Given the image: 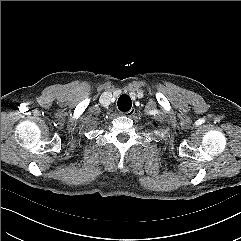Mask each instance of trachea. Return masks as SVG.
I'll use <instances>...</instances> for the list:
<instances>
[{"label":"trachea","mask_w":241,"mask_h":241,"mask_svg":"<svg viewBox=\"0 0 241 241\" xmlns=\"http://www.w3.org/2000/svg\"><path fill=\"white\" fill-rule=\"evenodd\" d=\"M117 105L120 111H129L132 107L131 98L128 95H121L118 99Z\"/></svg>","instance_id":"3493384b"}]
</instances>
